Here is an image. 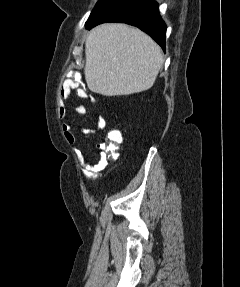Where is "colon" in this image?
I'll return each instance as SVG.
<instances>
[{
	"mask_svg": "<svg viewBox=\"0 0 240 287\" xmlns=\"http://www.w3.org/2000/svg\"><path fill=\"white\" fill-rule=\"evenodd\" d=\"M108 151L110 152L111 156H116V151L120 144L123 143V135L119 130H112L108 133ZM92 176V173H89Z\"/></svg>",
	"mask_w": 240,
	"mask_h": 287,
	"instance_id": "obj_1",
	"label": "colon"
}]
</instances>
